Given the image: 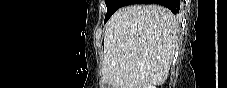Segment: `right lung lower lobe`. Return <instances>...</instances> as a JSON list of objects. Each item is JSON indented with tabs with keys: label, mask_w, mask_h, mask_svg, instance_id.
Segmentation results:
<instances>
[{
	"label": "right lung lower lobe",
	"mask_w": 227,
	"mask_h": 88,
	"mask_svg": "<svg viewBox=\"0 0 227 88\" xmlns=\"http://www.w3.org/2000/svg\"><path fill=\"white\" fill-rule=\"evenodd\" d=\"M141 4V3H156L161 4L168 9H170L174 14L179 13L180 10V0H129L127 5L129 4Z\"/></svg>",
	"instance_id": "98d812e1"
}]
</instances>
